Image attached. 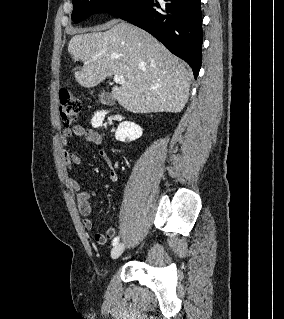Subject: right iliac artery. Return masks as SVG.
<instances>
[{"label": "right iliac artery", "instance_id": "1", "mask_svg": "<svg viewBox=\"0 0 284 319\" xmlns=\"http://www.w3.org/2000/svg\"><path fill=\"white\" fill-rule=\"evenodd\" d=\"M119 236H116L114 239H113V241H112V245L113 246H115V245H117L118 244V242H119Z\"/></svg>", "mask_w": 284, "mask_h": 319}]
</instances>
